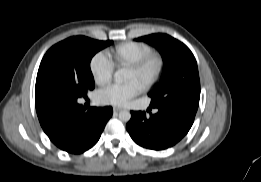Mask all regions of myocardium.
Returning <instances> with one entry per match:
<instances>
[{
    "label": "myocardium",
    "instance_id": "obj_1",
    "mask_svg": "<svg viewBox=\"0 0 261 182\" xmlns=\"http://www.w3.org/2000/svg\"><path fill=\"white\" fill-rule=\"evenodd\" d=\"M163 68L164 63L162 58L154 53H151L143 57L139 61L128 66V69L140 74H143L148 69H150V71L144 77L142 82V87L144 89L150 88L160 79L163 72Z\"/></svg>",
    "mask_w": 261,
    "mask_h": 182
}]
</instances>
